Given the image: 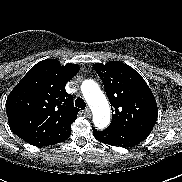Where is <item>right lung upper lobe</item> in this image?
<instances>
[{
	"label": "right lung upper lobe",
	"instance_id": "1",
	"mask_svg": "<svg viewBox=\"0 0 182 182\" xmlns=\"http://www.w3.org/2000/svg\"><path fill=\"white\" fill-rule=\"evenodd\" d=\"M80 70L76 64L61 66L56 59L34 65L14 87L6 101L12 131L35 146L58 143L71 134L80 111L65 85Z\"/></svg>",
	"mask_w": 182,
	"mask_h": 182
}]
</instances>
